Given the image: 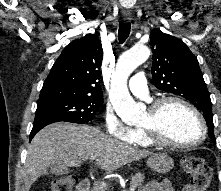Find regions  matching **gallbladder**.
<instances>
[{
    "label": "gallbladder",
    "mask_w": 221,
    "mask_h": 191,
    "mask_svg": "<svg viewBox=\"0 0 221 191\" xmlns=\"http://www.w3.org/2000/svg\"><path fill=\"white\" fill-rule=\"evenodd\" d=\"M50 172L52 174H66L68 173V167L64 163H56L50 166Z\"/></svg>",
    "instance_id": "1"
}]
</instances>
